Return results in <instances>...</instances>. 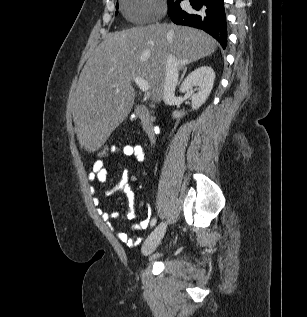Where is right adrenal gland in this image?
<instances>
[{
	"label": "right adrenal gland",
	"instance_id": "right-adrenal-gland-1",
	"mask_svg": "<svg viewBox=\"0 0 307 317\" xmlns=\"http://www.w3.org/2000/svg\"><path fill=\"white\" fill-rule=\"evenodd\" d=\"M186 71H187V67H185V68L183 69V73H182V75H181V78H180L179 84H180V83H181V81L183 80V78H184V75H185Z\"/></svg>",
	"mask_w": 307,
	"mask_h": 317
}]
</instances>
